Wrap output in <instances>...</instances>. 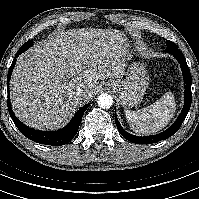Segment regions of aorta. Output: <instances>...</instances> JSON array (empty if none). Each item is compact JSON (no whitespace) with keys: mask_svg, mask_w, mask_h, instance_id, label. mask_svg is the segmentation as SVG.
Instances as JSON below:
<instances>
[{"mask_svg":"<svg viewBox=\"0 0 199 199\" xmlns=\"http://www.w3.org/2000/svg\"><path fill=\"white\" fill-rule=\"evenodd\" d=\"M98 106L103 109H108L113 105L112 96L107 93H102L97 98Z\"/></svg>","mask_w":199,"mask_h":199,"instance_id":"aorta-1","label":"aorta"}]
</instances>
